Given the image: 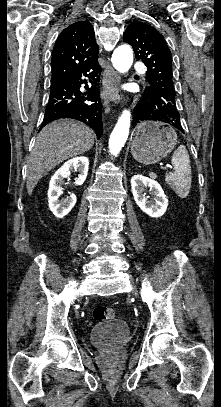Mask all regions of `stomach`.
<instances>
[{
    "instance_id": "0dacf381",
    "label": "stomach",
    "mask_w": 221,
    "mask_h": 407,
    "mask_svg": "<svg viewBox=\"0 0 221 407\" xmlns=\"http://www.w3.org/2000/svg\"><path fill=\"white\" fill-rule=\"evenodd\" d=\"M177 144V133L161 122L145 121L136 127L131 153L139 163L150 165L165 158Z\"/></svg>"
}]
</instances>
